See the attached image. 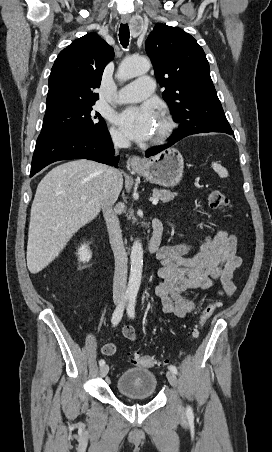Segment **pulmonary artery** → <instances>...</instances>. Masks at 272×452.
<instances>
[{"instance_id": "1", "label": "pulmonary artery", "mask_w": 272, "mask_h": 452, "mask_svg": "<svg viewBox=\"0 0 272 452\" xmlns=\"http://www.w3.org/2000/svg\"><path fill=\"white\" fill-rule=\"evenodd\" d=\"M154 86L151 77H141L120 89L114 100L117 103L140 102L152 95Z\"/></svg>"}]
</instances>
